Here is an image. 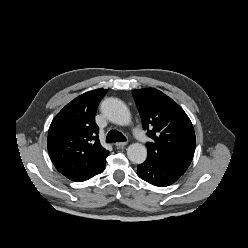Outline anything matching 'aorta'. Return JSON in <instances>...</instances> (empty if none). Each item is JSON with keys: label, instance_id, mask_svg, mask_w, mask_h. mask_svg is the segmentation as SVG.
Here are the masks:
<instances>
[{"label": "aorta", "instance_id": "1", "mask_svg": "<svg viewBox=\"0 0 248 248\" xmlns=\"http://www.w3.org/2000/svg\"><path fill=\"white\" fill-rule=\"evenodd\" d=\"M102 113L108 120L117 125H127L131 114L126 104L118 98H107L101 104ZM129 160L135 164L143 163L147 158V149L140 143H133L127 148Z\"/></svg>", "mask_w": 248, "mask_h": 248}]
</instances>
